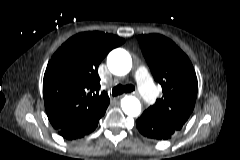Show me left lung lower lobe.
I'll list each match as a JSON object with an SVG mask.
<instances>
[{
  "label": "left lung lower lobe",
  "mask_w": 240,
  "mask_h": 160,
  "mask_svg": "<svg viewBox=\"0 0 240 160\" xmlns=\"http://www.w3.org/2000/svg\"><path fill=\"white\" fill-rule=\"evenodd\" d=\"M136 126L143 136L157 141L168 140L178 132L164 123L150 108L137 119Z\"/></svg>",
  "instance_id": "obj_1"
}]
</instances>
